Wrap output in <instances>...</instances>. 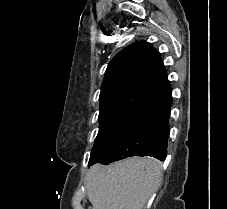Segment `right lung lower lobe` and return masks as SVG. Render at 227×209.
<instances>
[{"mask_svg": "<svg viewBox=\"0 0 227 209\" xmlns=\"http://www.w3.org/2000/svg\"><path fill=\"white\" fill-rule=\"evenodd\" d=\"M171 104V94L155 104L144 125L101 163L108 165L131 156H150L159 160H165L169 137L168 119Z\"/></svg>", "mask_w": 227, "mask_h": 209, "instance_id": "right-lung-lower-lobe-1", "label": "right lung lower lobe"}]
</instances>
